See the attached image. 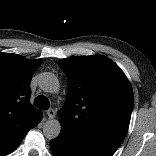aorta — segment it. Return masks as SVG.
Returning a JSON list of instances; mask_svg holds the SVG:
<instances>
[{"instance_id": "aorta-1", "label": "aorta", "mask_w": 156, "mask_h": 156, "mask_svg": "<svg viewBox=\"0 0 156 156\" xmlns=\"http://www.w3.org/2000/svg\"><path fill=\"white\" fill-rule=\"evenodd\" d=\"M39 87L47 93H54L59 89V82L56 76L50 72L40 74L38 80ZM61 131V124L57 119H50L43 125V133L46 138L55 139Z\"/></svg>"}]
</instances>
